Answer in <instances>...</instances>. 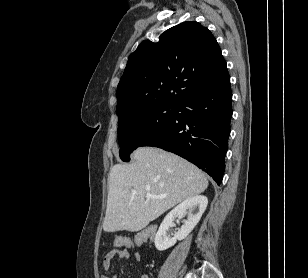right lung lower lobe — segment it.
Segmentation results:
<instances>
[{
    "label": "right lung lower lobe",
    "mask_w": 308,
    "mask_h": 278,
    "mask_svg": "<svg viewBox=\"0 0 308 278\" xmlns=\"http://www.w3.org/2000/svg\"><path fill=\"white\" fill-rule=\"evenodd\" d=\"M230 78L178 104L176 117L140 146H154L194 163L220 185L232 115Z\"/></svg>",
    "instance_id": "98d812e1"
}]
</instances>
